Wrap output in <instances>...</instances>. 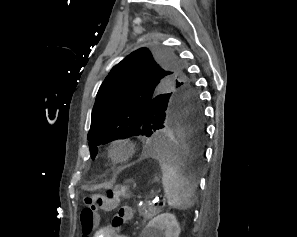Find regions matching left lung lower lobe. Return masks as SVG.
<instances>
[{
    "instance_id": "0a47b994",
    "label": "left lung lower lobe",
    "mask_w": 297,
    "mask_h": 237,
    "mask_svg": "<svg viewBox=\"0 0 297 237\" xmlns=\"http://www.w3.org/2000/svg\"><path fill=\"white\" fill-rule=\"evenodd\" d=\"M157 130L141 149L143 156H164L190 168L200 165L206 140L201 106L189 100L177 101Z\"/></svg>"
}]
</instances>
